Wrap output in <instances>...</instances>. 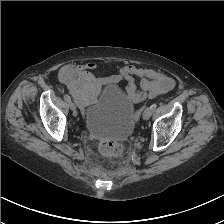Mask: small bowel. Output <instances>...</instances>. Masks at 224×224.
Masks as SVG:
<instances>
[{"label":"small bowel","instance_id":"small-bowel-1","mask_svg":"<svg viewBox=\"0 0 224 224\" xmlns=\"http://www.w3.org/2000/svg\"><path fill=\"white\" fill-rule=\"evenodd\" d=\"M101 63H89L86 69H97ZM136 77H140V89L137 86ZM115 81L125 80L127 82L126 94L135 103H140L147 97L155 98L165 94L174 88L175 82L168 75L149 68H141L134 65H123L117 67Z\"/></svg>","mask_w":224,"mask_h":224}]
</instances>
